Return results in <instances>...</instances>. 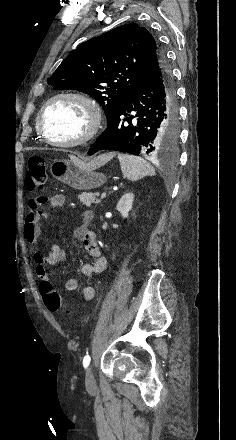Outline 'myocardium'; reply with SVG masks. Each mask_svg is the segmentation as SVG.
I'll use <instances>...</instances> for the list:
<instances>
[{"instance_id":"1","label":"myocardium","mask_w":236,"mask_h":440,"mask_svg":"<svg viewBox=\"0 0 236 440\" xmlns=\"http://www.w3.org/2000/svg\"><path fill=\"white\" fill-rule=\"evenodd\" d=\"M63 99L79 103L85 109L88 117L86 131L83 133L82 136L72 141H54L47 136L44 127L43 118L47 108L53 102ZM101 124L102 110L100 105L94 98H92L88 94L79 91H62L54 94L42 105L37 116V126L42 139L48 144L64 148H73L90 142L98 134L101 128Z\"/></svg>"}]
</instances>
